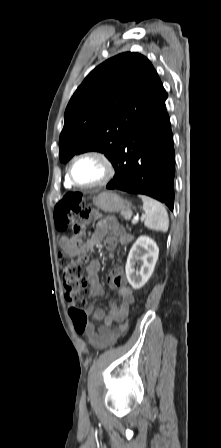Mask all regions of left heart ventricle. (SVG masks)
<instances>
[{"mask_svg":"<svg viewBox=\"0 0 221 448\" xmlns=\"http://www.w3.org/2000/svg\"><path fill=\"white\" fill-rule=\"evenodd\" d=\"M105 175L103 164L96 158L84 157L77 160L73 167V177L81 184H92Z\"/></svg>","mask_w":221,"mask_h":448,"instance_id":"left-heart-ventricle-1","label":"left heart ventricle"}]
</instances>
